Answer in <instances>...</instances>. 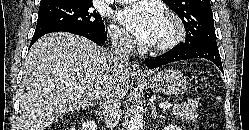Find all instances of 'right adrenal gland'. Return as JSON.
<instances>
[{
  "instance_id": "right-adrenal-gland-1",
  "label": "right adrenal gland",
  "mask_w": 249,
  "mask_h": 130,
  "mask_svg": "<svg viewBox=\"0 0 249 130\" xmlns=\"http://www.w3.org/2000/svg\"><path fill=\"white\" fill-rule=\"evenodd\" d=\"M98 113V115H102V113L100 111H96Z\"/></svg>"
}]
</instances>
